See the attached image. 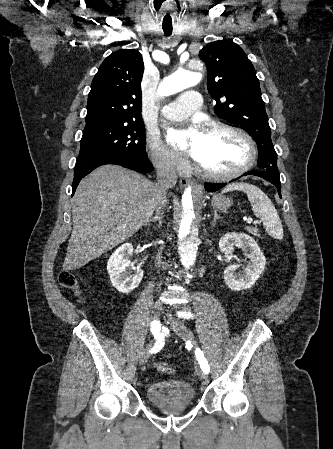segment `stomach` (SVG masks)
I'll list each match as a JSON object with an SVG mask.
<instances>
[{
	"instance_id": "obj_1",
	"label": "stomach",
	"mask_w": 333,
	"mask_h": 449,
	"mask_svg": "<svg viewBox=\"0 0 333 449\" xmlns=\"http://www.w3.org/2000/svg\"><path fill=\"white\" fill-rule=\"evenodd\" d=\"M231 205H232L231 199L223 195L217 194L214 195L212 198V206L221 211H225Z\"/></svg>"
}]
</instances>
